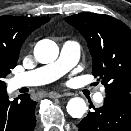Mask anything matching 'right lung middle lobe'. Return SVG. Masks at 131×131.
Wrapping results in <instances>:
<instances>
[{
	"instance_id": "right-lung-middle-lobe-1",
	"label": "right lung middle lobe",
	"mask_w": 131,
	"mask_h": 131,
	"mask_svg": "<svg viewBox=\"0 0 131 131\" xmlns=\"http://www.w3.org/2000/svg\"><path fill=\"white\" fill-rule=\"evenodd\" d=\"M17 60L0 59V90L6 89V84L3 81L4 78L11 72L16 66Z\"/></svg>"
}]
</instances>
